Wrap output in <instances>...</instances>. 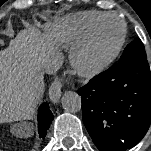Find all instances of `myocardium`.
Returning <instances> with one entry per match:
<instances>
[{"mask_svg": "<svg viewBox=\"0 0 151 151\" xmlns=\"http://www.w3.org/2000/svg\"><path fill=\"white\" fill-rule=\"evenodd\" d=\"M109 18L117 19L122 26L120 37L114 49L103 59L93 61L89 58V49L95 38V35L104 21ZM127 36V24L117 13H106L99 18L73 52V65L77 72L83 77H93L107 70L119 56Z\"/></svg>", "mask_w": 151, "mask_h": 151, "instance_id": "1", "label": "myocardium"}]
</instances>
